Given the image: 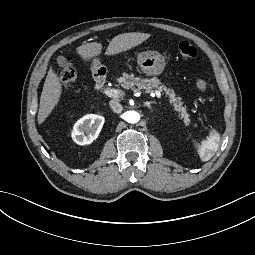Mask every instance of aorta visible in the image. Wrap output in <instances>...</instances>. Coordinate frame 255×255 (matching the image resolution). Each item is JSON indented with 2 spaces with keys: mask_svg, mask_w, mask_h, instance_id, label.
<instances>
[{
  "mask_svg": "<svg viewBox=\"0 0 255 255\" xmlns=\"http://www.w3.org/2000/svg\"><path fill=\"white\" fill-rule=\"evenodd\" d=\"M124 119L128 122V123H137L140 120V115L139 113H137L136 111H127L124 114Z\"/></svg>",
  "mask_w": 255,
  "mask_h": 255,
  "instance_id": "obj_1",
  "label": "aorta"
}]
</instances>
